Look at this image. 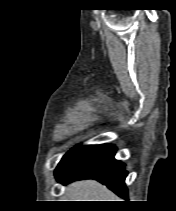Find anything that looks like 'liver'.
<instances>
[{
  "instance_id": "1",
  "label": "liver",
  "mask_w": 176,
  "mask_h": 211,
  "mask_svg": "<svg viewBox=\"0 0 176 211\" xmlns=\"http://www.w3.org/2000/svg\"><path fill=\"white\" fill-rule=\"evenodd\" d=\"M70 201H118L106 186L94 180H83L72 183L67 188Z\"/></svg>"
}]
</instances>
